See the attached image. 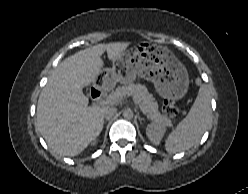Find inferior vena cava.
Here are the masks:
<instances>
[{
	"instance_id": "1",
	"label": "inferior vena cava",
	"mask_w": 248,
	"mask_h": 194,
	"mask_svg": "<svg viewBox=\"0 0 248 194\" xmlns=\"http://www.w3.org/2000/svg\"><path fill=\"white\" fill-rule=\"evenodd\" d=\"M116 112H117L116 108L108 106L104 108L103 116L106 119H110L116 114Z\"/></svg>"
}]
</instances>
